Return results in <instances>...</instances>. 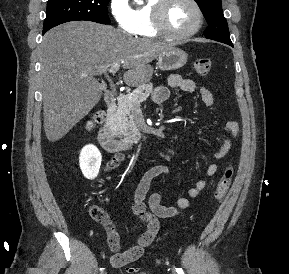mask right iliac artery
I'll list each match as a JSON object with an SVG mask.
<instances>
[{"instance_id":"82829eb1","label":"right iliac artery","mask_w":289,"mask_h":274,"mask_svg":"<svg viewBox=\"0 0 289 274\" xmlns=\"http://www.w3.org/2000/svg\"><path fill=\"white\" fill-rule=\"evenodd\" d=\"M104 268H100V271H102Z\"/></svg>"}]
</instances>
